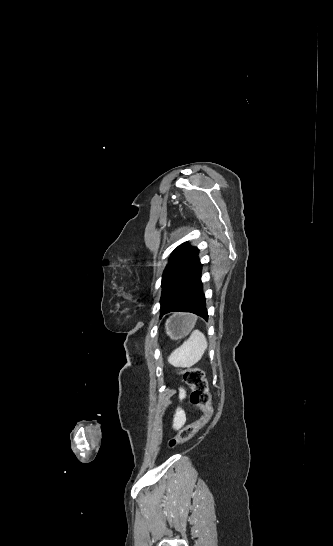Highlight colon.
Wrapping results in <instances>:
<instances>
[{
  "mask_svg": "<svg viewBox=\"0 0 333 546\" xmlns=\"http://www.w3.org/2000/svg\"><path fill=\"white\" fill-rule=\"evenodd\" d=\"M184 381L191 387L190 401L198 407L203 416L200 420L183 427L178 434L169 440L168 446L174 448L177 445L190 440L213 417L214 409L211 404L208 383L202 369L189 367L182 371Z\"/></svg>",
  "mask_w": 333,
  "mask_h": 546,
  "instance_id": "5ec220e1",
  "label": "colon"
}]
</instances>
